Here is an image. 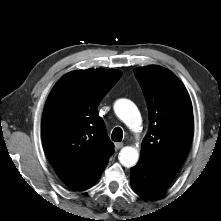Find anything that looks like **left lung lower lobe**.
Returning a JSON list of instances; mask_svg holds the SVG:
<instances>
[{
	"mask_svg": "<svg viewBox=\"0 0 221 221\" xmlns=\"http://www.w3.org/2000/svg\"><path fill=\"white\" fill-rule=\"evenodd\" d=\"M172 178L142 161L131 168L132 188L135 193L143 197L150 198L163 193L171 184Z\"/></svg>",
	"mask_w": 221,
	"mask_h": 221,
	"instance_id": "0a47b994",
	"label": "left lung lower lobe"
}]
</instances>
